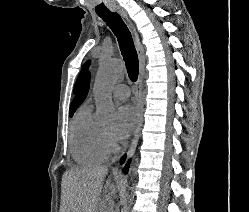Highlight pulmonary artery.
I'll return each mask as SVG.
<instances>
[{
  "label": "pulmonary artery",
  "instance_id": "1",
  "mask_svg": "<svg viewBox=\"0 0 249 212\" xmlns=\"http://www.w3.org/2000/svg\"><path fill=\"white\" fill-rule=\"evenodd\" d=\"M94 55L99 56L100 54H94ZM112 94L115 98L124 100L129 97L130 89L125 84H116L112 89Z\"/></svg>",
  "mask_w": 249,
  "mask_h": 212
}]
</instances>
